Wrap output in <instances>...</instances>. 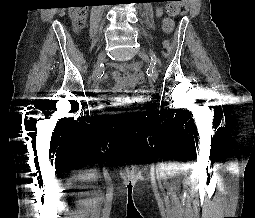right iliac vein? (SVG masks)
<instances>
[{
    "label": "right iliac vein",
    "instance_id": "obj_1",
    "mask_svg": "<svg viewBox=\"0 0 255 218\" xmlns=\"http://www.w3.org/2000/svg\"><path fill=\"white\" fill-rule=\"evenodd\" d=\"M104 60H105V53L101 52L98 56L97 63L95 64L93 73H92V78L94 81L97 80L98 74L100 73L101 66L103 65Z\"/></svg>",
    "mask_w": 255,
    "mask_h": 218
}]
</instances>
